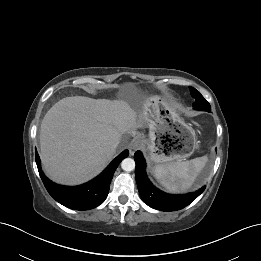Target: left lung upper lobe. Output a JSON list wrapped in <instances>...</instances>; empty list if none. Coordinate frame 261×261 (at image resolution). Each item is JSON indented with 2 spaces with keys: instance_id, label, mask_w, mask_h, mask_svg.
Returning a JSON list of instances; mask_svg holds the SVG:
<instances>
[{
  "instance_id": "obj_1",
  "label": "left lung upper lobe",
  "mask_w": 261,
  "mask_h": 261,
  "mask_svg": "<svg viewBox=\"0 0 261 261\" xmlns=\"http://www.w3.org/2000/svg\"><path fill=\"white\" fill-rule=\"evenodd\" d=\"M191 95L195 98V102L193 103V108L200 111H211V106L204 99V97L193 87H189Z\"/></svg>"
}]
</instances>
